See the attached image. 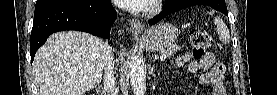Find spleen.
Masks as SVG:
<instances>
[{"label":"spleen","instance_id":"3e777b00","mask_svg":"<svg viewBox=\"0 0 277 95\" xmlns=\"http://www.w3.org/2000/svg\"><path fill=\"white\" fill-rule=\"evenodd\" d=\"M214 24L216 25V31L219 35V39L222 43L227 44L230 40V33L223 20L215 17Z\"/></svg>","mask_w":277,"mask_h":95}]
</instances>
